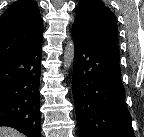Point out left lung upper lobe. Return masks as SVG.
<instances>
[{"label":"left lung upper lobe","mask_w":144,"mask_h":137,"mask_svg":"<svg viewBox=\"0 0 144 137\" xmlns=\"http://www.w3.org/2000/svg\"><path fill=\"white\" fill-rule=\"evenodd\" d=\"M72 29L99 47L118 52V27L109 7L101 0H81Z\"/></svg>","instance_id":"left-lung-upper-lobe-1"}]
</instances>
